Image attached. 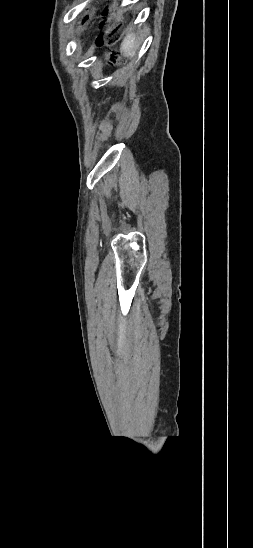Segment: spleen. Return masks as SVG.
<instances>
[{"instance_id": "spleen-1", "label": "spleen", "mask_w": 253, "mask_h": 548, "mask_svg": "<svg viewBox=\"0 0 253 548\" xmlns=\"http://www.w3.org/2000/svg\"><path fill=\"white\" fill-rule=\"evenodd\" d=\"M139 47V43L136 41V37L133 33H129L124 38L121 44V52L127 57H134Z\"/></svg>"}]
</instances>
